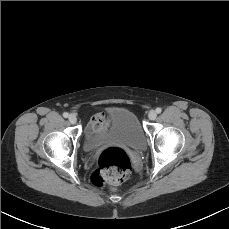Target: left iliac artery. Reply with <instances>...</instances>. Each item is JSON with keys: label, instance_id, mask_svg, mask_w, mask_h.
<instances>
[{"label": "left iliac artery", "instance_id": "left-iliac-artery-1", "mask_svg": "<svg viewBox=\"0 0 229 229\" xmlns=\"http://www.w3.org/2000/svg\"><path fill=\"white\" fill-rule=\"evenodd\" d=\"M161 111H162V109L161 108H156V112L159 114V113H161Z\"/></svg>", "mask_w": 229, "mask_h": 229}]
</instances>
